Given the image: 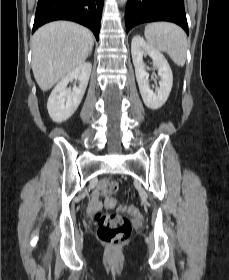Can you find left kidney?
Wrapping results in <instances>:
<instances>
[{"label": "left kidney", "instance_id": "5707ae66", "mask_svg": "<svg viewBox=\"0 0 229 280\" xmlns=\"http://www.w3.org/2000/svg\"><path fill=\"white\" fill-rule=\"evenodd\" d=\"M131 53L136 79L144 104L150 109H159L167 101L173 84V75L168 61L160 51L149 46L138 35L132 39ZM145 54L152 58L160 76L159 87L155 89V92L150 89L149 74L144 67L143 55Z\"/></svg>", "mask_w": 229, "mask_h": 280}]
</instances>
